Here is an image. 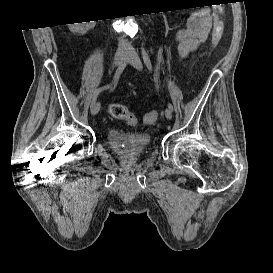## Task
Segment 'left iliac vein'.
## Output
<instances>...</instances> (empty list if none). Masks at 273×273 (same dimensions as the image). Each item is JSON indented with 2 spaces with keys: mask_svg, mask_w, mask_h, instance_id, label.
I'll list each match as a JSON object with an SVG mask.
<instances>
[{
  "mask_svg": "<svg viewBox=\"0 0 273 273\" xmlns=\"http://www.w3.org/2000/svg\"><path fill=\"white\" fill-rule=\"evenodd\" d=\"M127 62H129L137 70H142L143 68L142 62L137 52L133 48H131L127 53ZM165 116L169 120L172 118V112L170 109L167 108L165 110Z\"/></svg>",
  "mask_w": 273,
  "mask_h": 273,
  "instance_id": "obj_1",
  "label": "left iliac vein"
}]
</instances>
